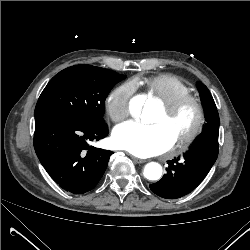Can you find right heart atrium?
Returning a JSON list of instances; mask_svg holds the SVG:
<instances>
[{"label": "right heart atrium", "instance_id": "right-heart-atrium-1", "mask_svg": "<svg viewBox=\"0 0 250 250\" xmlns=\"http://www.w3.org/2000/svg\"><path fill=\"white\" fill-rule=\"evenodd\" d=\"M133 93L134 87L129 83L120 84L108 93L105 108L113 121H121L129 115Z\"/></svg>", "mask_w": 250, "mask_h": 250}]
</instances>
